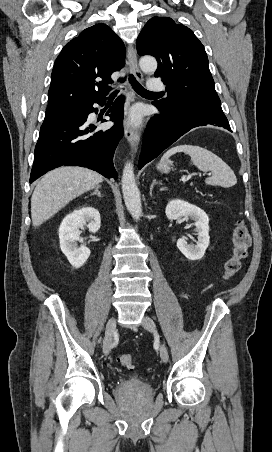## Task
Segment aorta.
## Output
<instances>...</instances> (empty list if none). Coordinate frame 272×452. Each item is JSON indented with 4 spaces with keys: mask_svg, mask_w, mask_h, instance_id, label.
Returning <instances> with one entry per match:
<instances>
[{
    "mask_svg": "<svg viewBox=\"0 0 272 452\" xmlns=\"http://www.w3.org/2000/svg\"><path fill=\"white\" fill-rule=\"evenodd\" d=\"M139 65L144 72H154L157 69V61L151 56L142 57ZM122 193L127 210L135 220H139L142 216L141 199L131 162H127L123 169Z\"/></svg>",
    "mask_w": 272,
    "mask_h": 452,
    "instance_id": "obj_1",
    "label": "aorta"
}]
</instances>
